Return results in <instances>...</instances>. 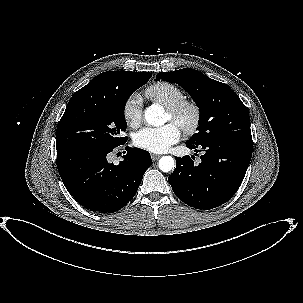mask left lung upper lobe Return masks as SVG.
I'll return each instance as SVG.
<instances>
[{
  "mask_svg": "<svg viewBox=\"0 0 303 303\" xmlns=\"http://www.w3.org/2000/svg\"><path fill=\"white\" fill-rule=\"evenodd\" d=\"M160 79L182 86L200 109L198 133L186 143H202L221 138H251L247 107L227 85L213 80L195 69L159 72Z\"/></svg>",
  "mask_w": 303,
  "mask_h": 303,
  "instance_id": "left-lung-upper-lobe-1",
  "label": "left lung upper lobe"
}]
</instances>
